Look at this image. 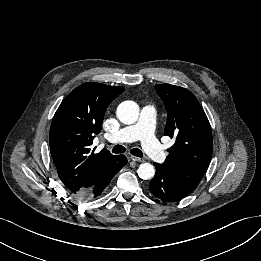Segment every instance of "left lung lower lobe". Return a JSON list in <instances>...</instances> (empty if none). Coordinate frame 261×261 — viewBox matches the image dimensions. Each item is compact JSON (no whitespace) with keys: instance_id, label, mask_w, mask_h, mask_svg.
<instances>
[{"instance_id":"1","label":"left lung lower lobe","mask_w":261,"mask_h":261,"mask_svg":"<svg viewBox=\"0 0 261 261\" xmlns=\"http://www.w3.org/2000/svg\"><path fill=\"white\" fill-rule=\"evenodd\" d=\"M156 174L149 184L150 192L165 202L179 201L190 194L182 189L161 165L154 163Z\"/></svg>"}]
</instances>
